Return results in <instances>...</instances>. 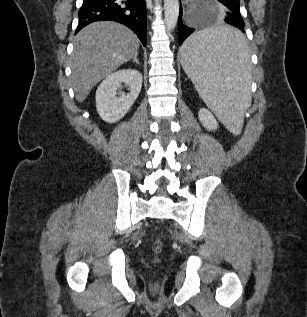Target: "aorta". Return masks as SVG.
<instances>
[{"instance_id":"762f6f07","label":"aorta","mask_w":307,"mask_h":317,"mask_svg":"<svg viewBox=\"0 0 307 317\" xmlns=\"http://www.w3.org/2000/svg\"><path fill=\"white\" fill-rule=\"evenodd\" d=\"M179 0H164V19L167 31H172L178 21Z\"/></svg>"}]
</instances>
